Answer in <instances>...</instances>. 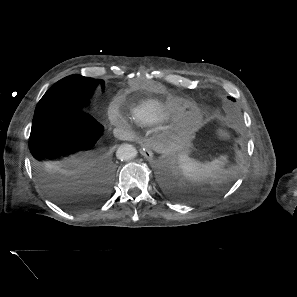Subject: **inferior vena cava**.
Instances as JSON below:
<instances>
[{
    "label": "inferior vena cava",
    "mask_w": 297,
    "mask_h": 297,
    "mask_svg": "<svg viewBox=\"0 0 297 297\" xmlns=\"http://www.w3.org/2000/svg\"><path fill=\"white\" fill-rule=\"evenodd\" d=\"M114 135L119 139H129L131 137L130 131L124 129L122 127H118L114 129Z\"/></svg>",
    "instance_id": "602c4592"
}]
</instances>
